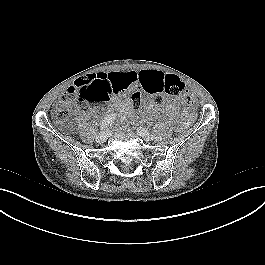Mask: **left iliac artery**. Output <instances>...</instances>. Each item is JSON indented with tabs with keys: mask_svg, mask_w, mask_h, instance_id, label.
I'll list each match as a JSON object with an SVG mask.
<instances>
[{
	"mask_svg": "<svg viewBox=\"0 0 265 265\" xmlns=\"http://www.w3.org/2000/svg\"><path fill=\"white\" fill-rule=\"evenodd\" d=\"M153 137H154V136L152 135V138H153ZM155 138H156V140H158V141L161 140V137H159V136H156Z\"/></svg>",
	"mask_w": 265,
	"mask_h": 265,
	"instance_id": "44dca946",
	"label": "left iliac artery"
}]
</instances>
